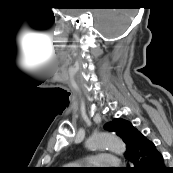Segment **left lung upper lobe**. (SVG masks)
<instances>
[{"label":"left lung upper lobe","instance_id":"left-lung-upper-lobe-1","mask_svg":"<svg viewBox=\"0 0 173 173\" xmlns=\"http://www.w3.org/2000/svg\"><path fill=\"white\" fill-rule=\"evenodd\" d=\"M105 129L115 132L125 142L127 148L125 154L126 157L127 154L130 152L131 148L133 147L135 137L139 131L135 129L129 121L120 118H116L113 121L107 123L105 125Z\"/></svg>","mask_w":173,"mask_h":173}]
</instances>
